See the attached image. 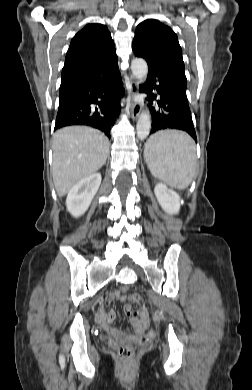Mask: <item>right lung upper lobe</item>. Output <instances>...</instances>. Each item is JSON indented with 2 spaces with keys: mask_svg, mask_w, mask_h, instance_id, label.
I'll return each mask as SVG.
<instances>
[{
  "mask_svg": "<svg viewBox=\"0 0 252 390\" xmlns=\"http://www.w3.org/2000/svg\"><path fill=\"white\" fill-rule=\"evenodd\" d=\"M115 45L107 27L88 24L71 40L62 69L59 97L100 81L117 67Z\"/></svg>",
  "mask_w": 252,
  "mask_h": 390,
  "instance_id": "right-lung-upper-lobe-1",
  "label": "right lung upper lobe"
}]
</instances>
